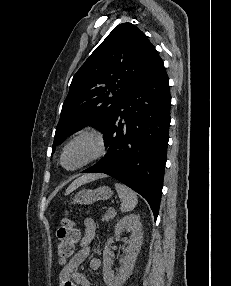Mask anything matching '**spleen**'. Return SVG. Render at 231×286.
Segmentation results:
<instances>
[{
	"instance_id": "3e777b00",
	"label": "spleen",
	"mask_w": 231,
	"mask_h": 286,
	"mask_svg": "<svg viewBox=\"0 0 231 286\" xmlns=\"http://www.w3.org/2000/svg\"><path fill=\"white\" fill-rule=\"evenodd\" d=\"M115 188L121 199V211L129 212L132 211L138 203L137 194L127 186L121 183H115Z\"/></svg>"
}]
</instances>
